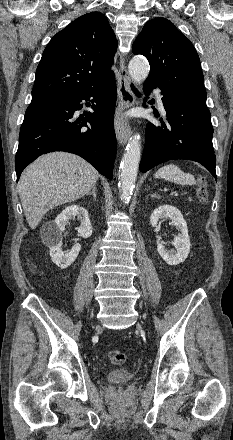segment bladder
<instances>
[{"instance_id": "obj_1", "label": "bladder", "mask_w": 233, "mask_h": 440, "mask_svg": "<svg viewBox=\"0 0 233 440\" xmlns=\"http://www.w3.org/2000/svg\"><path fill=\"white\" fill-rule=\"evenodd\" d=\"M134 376L132 370L127 368L112 369L106 374V378L116 384H122L130 381Z\"/></svg>"}]
</instances>
